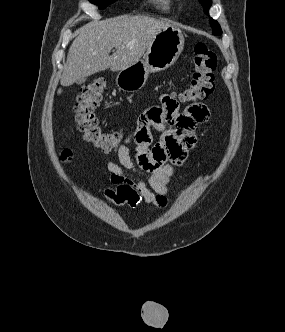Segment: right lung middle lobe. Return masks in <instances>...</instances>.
I'll list each match as a JSON object with an SVG mask.
<instances>
[{
  "label": "right lung middle lobe",
  "instance_id": "right-lung-middle-lobe-1",
  "mask_svg": "<svg viewBox=\"0 0 285 332\" xmlns=\"http://www.w3.org/2000/svg\"><path fill=\"white\" fill-rule=\"evenodd\" d=\"M91 3L99 6L100 9H104L109 4L113 3L116 0H89Z\"/></svg>",
  "mask_w": 285,
  "mask_h": 332
}]
</instances>
